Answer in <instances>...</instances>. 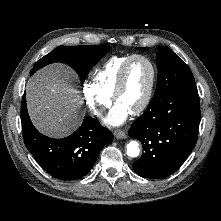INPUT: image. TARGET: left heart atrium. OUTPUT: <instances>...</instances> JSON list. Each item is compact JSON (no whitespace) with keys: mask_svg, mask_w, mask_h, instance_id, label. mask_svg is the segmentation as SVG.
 Wrapping results in <instances>:
<instances>
[{"mask_svg":"<svg viewBox=\"0 0 221 221\" xmlns=\"http://www.w3.org/2000/svg\"><path fill=\"white\" fill-rule=\"evenodd\" d=\"M129 115L130 112L125 107L120 104H116L104 121L110 126H119L128 119Z\"/></svg>","mask_w":221,"mask_h":221,"instance_id":"39dd6f15","label":"left heart atrium"}]
</instances>
